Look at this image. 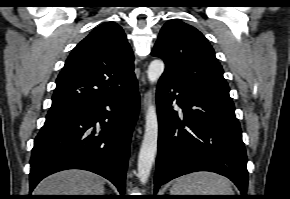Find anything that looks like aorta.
<instances>
[{"instance_id": "1", "label": "aorta", "mask_w": 290, "mask_h": 199, "mask_svg": "<svg viewBox=\"0 0 290 199\" xmlns=\"http://www.w3.org/2000/svg\"><path fill=\"white\" fill-rule=\"evenodd\" d=\"M165 69L164 62L160 59L153 60L147 70L150 83H156ZM158 119L156 107L149 104L146 113L145 132L138 156V178L142 184L148 181L152 166L155 162L158 142Z\"/></svg>"}]
</instances>
